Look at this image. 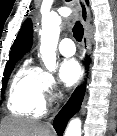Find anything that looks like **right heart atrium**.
<instances>
[{"label": "right heart atrium", "mask_w": 117, "mask_h": 136, "mask_svg": "<svg viewBox=\"0 0 117 136\" xmlns=\"http://www.w3.org/2000/svg\"><path fill=\"white\" fill-rule=\"evenodd\" d=\"M40 89L43 98L47 96H54L56 93V82L54 77L45 71H41Z\"/></svg>", "instance_id": "d8ad5b80"}]
</instances>
